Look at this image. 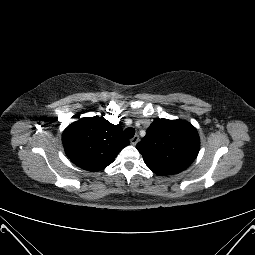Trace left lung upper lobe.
Listing matches in <instances>:
<instances>
[{
  "mask_svg": "<svg viewBox=\"0 0 255 255\" xmlns=\"http://www.w3.org/2000/svg\"><path fill=\"white\" fill-rule=\"evenodd\" d=\"M136 148L155 174L165 176L182 172L192 164L200 139L189 122L157 118Z\"/></svg>",
  "mask_w": 255,
  "mask_h": 255,
  "instance_id": "1",
  "label": "left lung upper lobe"
}]
</instances>
